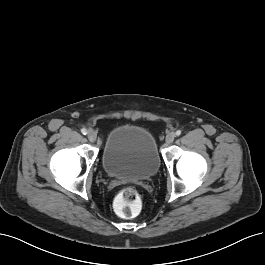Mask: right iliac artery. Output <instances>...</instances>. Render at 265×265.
I'll list each match as a JSON object with an SVG mask.
<instances>
[{
	"label": "right iliac artery",
	"mask_w": 265,
	"mask_h": 265,
	"mask_svg": "<svg viewBox=\"0 0 265 265\" xmlns=\"http://www.w3.org/2000/svg\"><path fill=\"white\" fill-rule=\"evenodd\" d=\"M81 132H82V134H84V135L87 134V130H86L85 128H82V129H81Z\"/></svg>",
	"instance_id": "right-iliac-artery-1"
}]
</instances>
